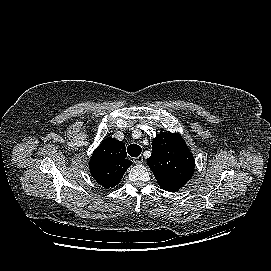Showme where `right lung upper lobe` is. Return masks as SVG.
Masks as SVG:
<instances>
[{
  "label": "right lung upper lobe",
  "mask_w": 271,
  "mask_h": 271,
  "mask_svg": "<svg viewBox=\"0 0 271 271\" xmlns=\"http://www.w3.org/2000/svg\"><path fill=\"white\" fill-rule=\"evenodd\" d=\"M127 153L123 142L111 137L105 138L91 157L90 173L98 184L109 189L122 179L132 161L126 159Z\"/></svg>",
  "instance_id": "right-lung-upper-lobe-1"
}]
</instances>
